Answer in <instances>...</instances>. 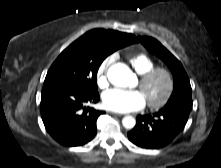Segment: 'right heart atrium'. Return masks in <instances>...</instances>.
Returning a JSON list of instances; mask_svg holds the SVG:
<instances>
[{
	"mask_svg": "<svg viewBox=\"0 0 221 168\" xmlns=\"http://www.w3.org/2000/svg\"><path fill=\"white\" fill-rule=\"evenodd\" d=\"M114 59V55L108 56L105 60H103L97 69L96 81L97 85L102 89L108 87L109 85L108 69L113 63Z\"/></svg>",
	"mask_w": 221,
	"mask_h": 168,
	"instance_id": "d8ad5b80",
	"label": "right heart atrium"
}]
</instances>
